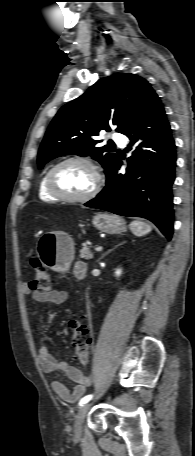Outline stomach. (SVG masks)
<instances>
[{"label":"stomach","mask_w":195,"mask_h":456,"mask_svg":"<svg viewBox=\"0 0 195 456\" xmlns=\"http://www.w3.org/2000/svg\"><path fill=\"white\" fill-rule=\"evenodd\" d=\"M92 224L96 229L108 234H118L126 228L124 219L108 213L95 214L92 217ZM48 234L43 235L38 244V254L42 263L56 271L68 270L74 258V243L71 236L63 231Z\"/></svg>","instance_id":"obj_1"}]
</instances>
